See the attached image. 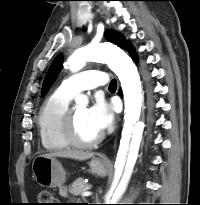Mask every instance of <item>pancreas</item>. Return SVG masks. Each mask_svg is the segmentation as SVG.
<instances>
[{
	"mask_svg": "<svg viewBox=\"0 0 200 205\" xmlns=\"http://www.w3.org/2000/svg\"><path fill=\"white\" fill-rule=\"evenodd\" d=\"M91 188L90 184H86L84 182L83 178H77L72 185L69 186V192L70 194L74 196H78L85 192L86 190H89Z\"/></svg>",
	"mask_w": 200,
	"mask_h": 205,
	"instance_id": "1",
	"label": "pancreas"
}]
</instances>
